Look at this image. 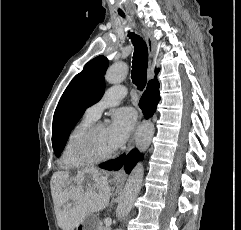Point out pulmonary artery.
<instances>
[{
	"label": "pulmonary artery",
	"instance_id": "1",
	"mask_svg": "<svg viewBox=\"0 0 241 230\" xmlns=\"http://www.w3.org/2000/svg\"><path fill=\"white\" fill-rule=\"evenodd\" d=\"M125 95L126 89L124 87H111L106 90L105 94L98 102L87 108L86 114L97 119L104 109L118 105Z\"/></svg>",
	"mask_w": 241,
	"mask_h": 230
}]
</instances>
